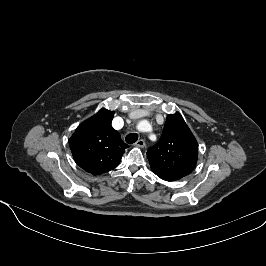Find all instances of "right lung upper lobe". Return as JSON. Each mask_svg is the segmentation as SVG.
I'll return each instance as SVG.
<instances>
[{"instance_id":"right-lung-upper-lobe-1","label":"right lung upper lobe","mask_w":266,"mask_h":266,"mask_svg":"<svg viewBox=\"0 0 266 266\" xmlns=\"http://www.w3.org/2000/svg\"><path fill=\"white\" fill-rule=\"evenodd\" d=\"M113 116L114 111L101 109L81 123L70 138L69 145L75 162L93 175L117 167L128 148L111 125Z\"/></svg>"}]
</instances>
